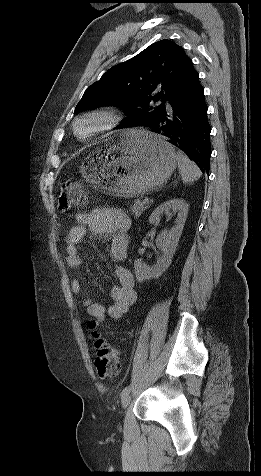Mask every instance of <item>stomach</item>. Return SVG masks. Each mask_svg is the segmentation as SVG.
Returning a JSON list of instances; mask_svg holds the SVG:
<instances>
[{"mask_svg":"<svg viewBox=\"0 0 261 476\" xmlns=\"http://www.w3.org/2000/svg\"><path fill=\"white\" fill-rule=\"evenodd\" d=\"M177 166L174 148L147 130L122 131L90 153L80 172L107 194L135 197L160 188Z\"/></svg>","mask_w":261,"mask_h":476,"instance_id":"1","label":"stomach"}]
</instances>
